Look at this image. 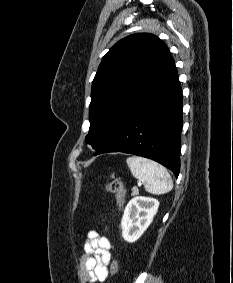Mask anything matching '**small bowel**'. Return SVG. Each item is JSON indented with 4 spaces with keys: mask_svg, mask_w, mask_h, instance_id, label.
I'll return each mask as SVG.
<instances>
[{
    "mask_svg": "<svg viewBox=\"0 0 233 283\" xmlns=\"http://www.w3.org/2000/svg\"><path fill=\"white\" fill-rule=\"evenodd\" d=\"M80 273L88 282H104L111 261V243L101 234L91 231L83 245Z\"/></svg>",
    "mask_w": 233,
    "mask_h": 283,
    "instance_id": "small-bowel-1",
    "label": "small bowel"
}]
</instances>
